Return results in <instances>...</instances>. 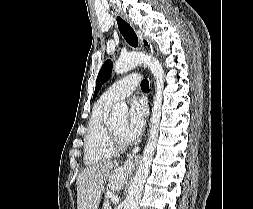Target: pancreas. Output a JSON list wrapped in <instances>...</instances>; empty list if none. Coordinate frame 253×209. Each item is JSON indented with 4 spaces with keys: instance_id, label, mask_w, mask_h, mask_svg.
Returning <instances> with one entry per match:
<instances>
[{
    "instance_id": "1",
    "label": "pancreas",
    "mask_w": 253,
    "mask_h": 209,
    "mask_svg": "<svg viewBox=\"0 0 253 209\" xmlns=\"http://www.w3.org/2000/svg\"><path fill=\"white\" fill-rule=\"evenodd\" d=\"M103 209H110L109 198H105V200H104V205H103Z\"/></svg>"
}]
</instances>
